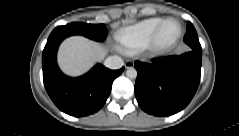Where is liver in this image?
<instances>
[{"label": "liver", "instance_id": "liver-1", "mask_svg": "<svg viewBox=\"0 0 239 136\" xmlns=\"http://www.w3.org/2000/svg\"><path fill=\"white\" fill-rule=\"evenodd\" d=\"M108 49L93 40L80 35L66 38L59 47L58 64L70 76L87 72L96 62L102 61Z\"/></svg>", "mask_w": 239, "mask_h": 136}]
</instances>
